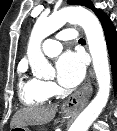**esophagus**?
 Returning <instances> with one entry per match:
<instances>
[{
	"label": "esophagus",
	"instance_id": "1",
	"mask_svg": "<svg viewBox=\"0 0 117 131\" xmlns=\"http://www.w3.org/2000/svg\"><path fill=\"white\" fill-rule=\"evenodd\" d=\"M94 79V73L92 69L89 71L88 82L76 93H74L64 103L63 109L70 113H78L87 104L89 97L92 94V81Z\"/></svg>",
	"mask_w": 117,
	"mask_h": 131
}]
</instances>
